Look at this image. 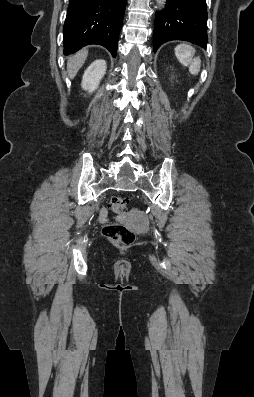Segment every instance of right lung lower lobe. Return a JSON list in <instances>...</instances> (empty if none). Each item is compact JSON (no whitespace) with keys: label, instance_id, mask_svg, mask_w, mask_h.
<instances>
[{"label":"right lung lower lobe","instance_id":"obj_1","mask_svg":"<svg viewBox=\"0 0 254 397\" xmlns=\"http://www.w3.org/2000/svg\"><path fill=\"white\" fill-rule=\"evenodd\" d=\"M127 0H70L64 24V55L89 44L106 47L116 57Z\"/></svg>","mask_w":254,"mask_h":397}]
</instances>
